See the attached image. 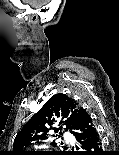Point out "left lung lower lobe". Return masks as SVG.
Returning <instances> with one entry per match:
<instances>
[{
  "label": "left lung lower lobe",
  "instance_id": "left-lung-lower-lobe-1",
  "mask_svg": "<svg viewBox=\"0 0 119 155\" xmlns=\"http://www.w3.org/2000/svg\"><path fill=\"white\" fill-rule=\"evenodd\" d=\"M73 135L85 151L78 155H104L97 129L90 115L82 107H78Z\"/></svg>",
  "mask_w": 119,
  "mask_h": 155
}]
</instances>
